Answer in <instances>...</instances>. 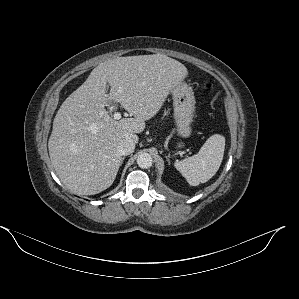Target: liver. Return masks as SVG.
I'll return each instance as SVG.
<instances>
[{"label":"liver","instance_id":"6515ba94","mask_svg":"<svg viewBox=\"0 0 299 299\" xmlns=\"http://www.w3.org/2000/svg\"><path fill=\"white\" fill-rule=\"evenodd\" d=\"M187 75L182 63L163 54L117 57L94 68L53 121L48 149L61 181L79 195L109 188L123 161L119 142L138 143L145 121ZM108 100L120 103L134 118H112L105 109Z\"/></svg>","mask_w":299,"mask_h":299}]
</instances>
